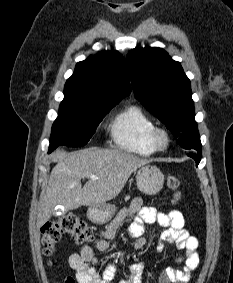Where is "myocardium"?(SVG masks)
<instances>
[{
    "mask_svg": "<svg viewBox=\"0 0 233 283\" xmlns=\"http://www.w3.org/2000/svg\"><path fill=\"white\" fill-rule=\"evenodd\" d=\"M150 141L155 151H164L170 144V137L164 128L156 127L151 133Z\"/></svg>",
    "mask_w": 233,
    "mask_h": 283,
    "instance_id": "myocardium-1",
    "label": "myocardium"
}]
</instances>
